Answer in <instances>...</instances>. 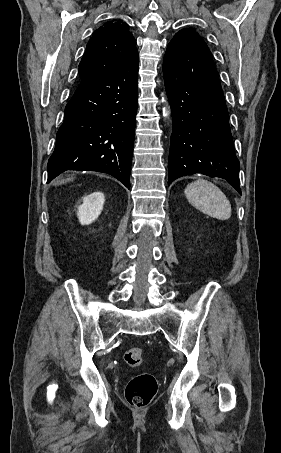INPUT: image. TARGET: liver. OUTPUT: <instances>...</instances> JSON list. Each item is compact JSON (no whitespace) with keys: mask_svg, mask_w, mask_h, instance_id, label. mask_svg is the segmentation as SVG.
<instances>
[{"mask_svg":"<svg viewBox=\"0 0 281 453\" xmlns=\"http://www.w3.org/2000/svg\"><path fill=\"white\" fill-rule=\"evenodd\" d=\"M70 180H73V178H62V180H56L54 184H63V182H70Z\"/></svg>","mask_w":281,"mask_h":453,"instance_id":"liver-1","label":"liver"}]
</instances>
